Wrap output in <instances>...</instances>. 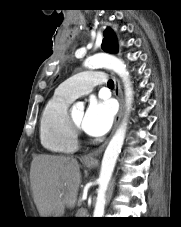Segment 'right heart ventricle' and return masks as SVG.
I'll return each instance as SVG.
<instances>
[{"mask_svg":"<svg viewBox=\"0 0 181 227\" xmlns=\"http://www.w3.org/2000/svg\"><path fill=\"white\" fill-rule=\"evenodd\" d=\"M71 102V99L55 92L42 111L40 141L52 153L68 154L78 148L77 137L68 122V106Z\"/></svg>","mask_w":181,"mask_h":227,"instance_id":"right-heart-ventricle-1","label":"right heart ventricle"}]
</instances>
